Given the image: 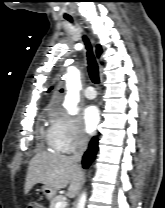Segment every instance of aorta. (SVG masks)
<instances>
[{
	"label": "aorta",
	"mask_w": 165,
	"mask_h": 208,
	"mask_svg": "<svg viewBox=\"0 0 165 208\" xmlns=\"http://www.w3.org/2000/svg\"><path fill=\"white\" fill-rule=\"evenodd\" d=\"M67 81V95L64 106L71 115L76 113V105L79 102V92L81 90L80 72L77 69L69 70ZM87 195L83 192L79 198L76 208H85Z\"/></svg>",
	"instance_id": "1"
}]
</instances>
